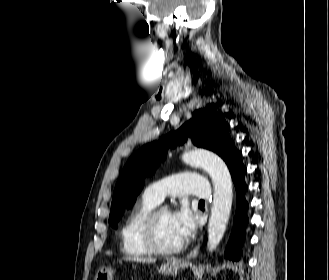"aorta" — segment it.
Instances as JSON below:
<instances>
[{
  "label": "aorta",
  "mask_w": 329,
  "mask_h": 280,
  "mask_svg": "<svg viewBox=\"0 0 329 280\" xmlns=\"http://www.w3.org/2000/svg\"><path fill=\"white\" fill-rule=\"evenodd\" d=\"M182 159L188 165L205 169L213 181L214 194L207 243L209 251L212 252L223 238L231 212L233 199L231 175L225 162L208 151H188L183 154Z\"/></svg>",
  "instance_id": "762f6f07"
}]
</instances>
